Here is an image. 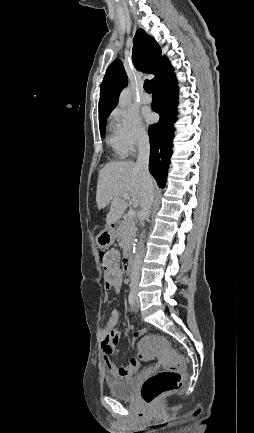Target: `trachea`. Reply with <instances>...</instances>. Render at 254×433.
Wrapping results in <instances>:
<instances>
[{
    "label": "trachea",
    "mask_w": 254,
    "mask_h": 433,
    "mask_svg": "<svg viewBox=\"0 0 254 433\" xmlns=\"http://www.w3.org/2000/svg\"><path fill=\"white\" fill-rule=\"evenodd\" d=\"M144 89L146 92L151 93L152 90V86H151V82L149 80H146L144 83Z\"/></svg>",
    "instance_id": "trachea-1"
}]
</instances>
